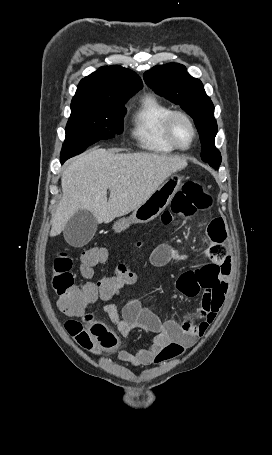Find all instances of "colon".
Wrapping results in <instances>:
<instances>
[{
    "mask_svg": "<svg viewBox=\"0 0 272 455\" xmlns=\"http://www.w3.org/2000/svg\"><path fill=\"white\" fill-rule=\"evenodd\" d=\"M211 198L202 181L189 180L178 192L170 210L161 215L165 226L176 224L181 218H189L197 211L208 209ZM144 242L138 243L141 248ZM107 260V252L102 248L86 250L81 257V273L85 277L92 275V267ZM137 259L129 263H120L114 274L103 277L98 283L76 284L72 273L73 259L67 252L59 253L51 265L52 288L57 295V306L61 312L74 318L65 323L68 334L84 349L94 353L114 348L117 337L102 323L93 321L86 310L97 299L111 300L119 291L137 281L135 266Z\"/></svg>",
    "mask_w": 272,
    "mask_h": 455,
    "instance_id": "obj_1",
    "label": "colon"
}]
</instances>
